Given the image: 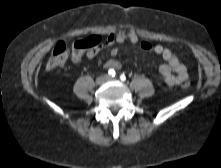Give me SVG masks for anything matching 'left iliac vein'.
<instances>
[{"label": "left iliac vein", "mask_w": 221, "mask_h": 168, "mask_svg": "<svg viewBox=\"0 0 221 168\" xmlns=\"http://www.w3.org/2000/svg\"><path fill=\"white\" fill-rule=\"evenodd\" d=\"M107 80H108V81H112V80H117V78L108 77Z\"/></svg>", "instance_id": "1"}]
</instances>
